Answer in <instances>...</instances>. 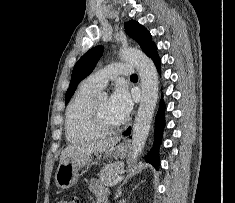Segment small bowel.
I'll return each mask as SVG.
<instances>
[{"mask_svg": "<svg viewBox=\"0 0 235 203\" xmlns=\"http://www.w3.org/2000/svg\"><path fill=\"white\" fill-rule=\"evenodd\" d=\"M90 189L98 196L99 201L104 200L106 198V192L102 188L101 184L98 180H92L90 183ZM99 203V202H98Z\"/></svg>", "mask_w": 235, "mask_h": 203, "instance_id": "obj_1", "label": "small bowel"}]
</instances>
